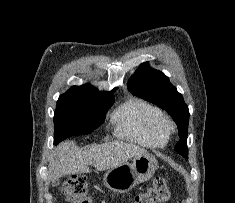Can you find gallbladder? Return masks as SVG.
<instances>
[{"label":"gallbladder","instance_id":"1","mask_svg":"<svg viewBox=\"0 0 235 203\" xmlns=\"http://www.w3.org/2000/svg\"><path fill=\"white\" fill-rule=\"evenodd\" d=\"M53 184H54V185H57V184H58V181H57V180H55V181L53 182Z\"/></svg>","mask_w":235,"mask_h":203}]
</instances>
